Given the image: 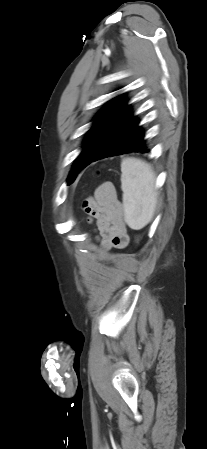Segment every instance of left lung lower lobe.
I'll use <instances>...</instances> for the list:
<instances>
[{"label": "left lung lower lobe", "instance_id": "left-lung-lower-lobe-1", "mask_svg": "<svg viewBox=\"0 0 207 449\" xmlns=\"http://www.w3.org/2000/svg\"><path fill=\"white\" fill-rule=\"evenodd\" d=\"M139 121L129 114L110 133L91 163L106 157L130 152H149Z\"/></svg>", "mask_w": 207, "mask_h": 449}]
</instances>
